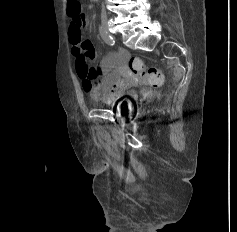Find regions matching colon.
<instances>
[{
  "instance_id": "5ec220e1",
  "label": "colon",
  "mask_w": 237,
  "mask_h": 232,
  "mask_svg": "<svg viewBox=\"0 0 237 232\" xmlns=\"http://www.w3.org/2000/svg\"><path fill=\"white\" fill-rule=\"evenodd\" d=\"M67 8L68 14L72 19L81 20L82 8L79 0H69ZM128 67L134 75L142 77L151 85L158 86L163 81L160 69L156 67H146L145 63L139 58H131Z\"/></svg>"
}]
</instances>
